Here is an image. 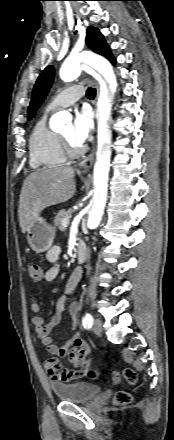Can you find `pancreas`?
<instances>
[{
    "label": "pancreas",
    "instance_id": "obj_1",
    "mask_svg": "<svg viewBox=\"0 0 174 440\" xmlns=\"http://www.w3.org/2000/svg\"><path fill=\"white\" fill-rule=\"evenodd\" d=\"M64 219H70V214L65 209H62L56 214L54 218L55 226H57L61 231L65 230V227L62 226V220Z\"/></svg>",
    "mask_w": 174,
    "mask_h": 440
}]
</instances>
